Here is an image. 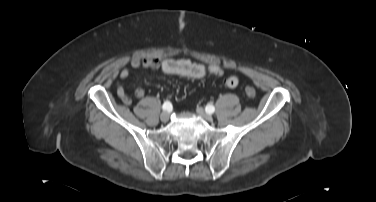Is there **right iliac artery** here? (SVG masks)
I'll return each mask as SVG.
<instances>
[{"label": "right iliac artery", "mask_w": 376, "mask_h": 202, "mask_svg": "<svg viewBox=\"0 0 376 202\" xmlns=\"http://www.w3.org/2000/svg\"><path fill=\"white\" fill-rule=\"evenodd\" d=\"M162 108H163V110H165V111H169V110L172 109V104H171L169 101H166V102H164Z\"/></svg>", "instance_id": "right-iliac-artery-1"}]
</instances>
